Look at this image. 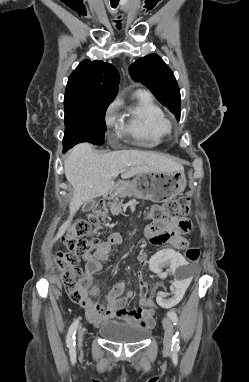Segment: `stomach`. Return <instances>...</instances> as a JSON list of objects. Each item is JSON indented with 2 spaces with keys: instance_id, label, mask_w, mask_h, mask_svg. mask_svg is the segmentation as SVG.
<instances>
[{
  "instance_id": "1",
  "label": "stomach",
  "mask_w": 249,
  "mask_h": 382,
  "mask_svg": "<svg viewBox=\"0 0 249 382\" xmlns=\"http://www.w3.org/2000/svg\"><path fill=\"white\" fill-rule=\"evenodd\" d=\"M187 185L183 171L173 173L138 174L131 182H122L113 194L127 192L137 199L149 200L156 203L169 201L181 194Z\"/></svg>"
}]
</instances>
